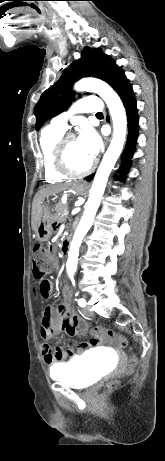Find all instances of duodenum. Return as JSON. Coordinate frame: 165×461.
I'll return each mask as SVG.
<instances>
[{
  "mask_svg": "<svg viewBox=\"0 0 165 461\" xmlns=\"http://www.w3.org/2000/svg\"><path fill=\"white\" fill-rule=\"evenodd\" d=\"M69 240H70V236H66V237H65V240H64V243H65V244H68V243H69Z\"/></svg>",
  "mask_w": 165,
  "mask_h": 461,
  "instance_id": "1",
  "label": "duodenum"
}]
</instances>
